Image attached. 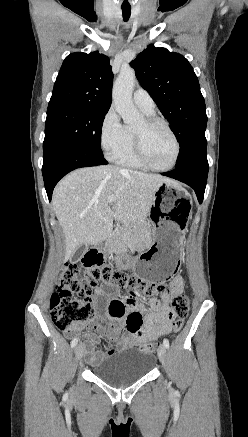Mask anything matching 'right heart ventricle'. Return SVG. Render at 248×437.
I'll list each match as a JSON object with an SVG mask.
<instances>
[{
    "label": "right heart ventricle",
    "instance_id": "obj_1",
    "mask_svg": "<svg viewBox=\"0 0 248 437\" xmlns=\"http://www.w3.org/2000/svg\"><path fill=\"white\" fill-rule=\"evenodd\" d=\"M145 113V112H144ZM148 116H152L153 113H145ZM128 132V143L125 147V149L115 158V160L123 166L129 167V168H142V164L138 160L135 151H134V142H133V133Z\"/></svg>",
    "mask_w": 248,
    "mask_h": 437
}]
</instances>
